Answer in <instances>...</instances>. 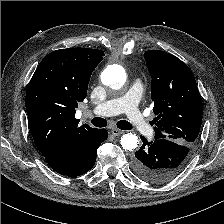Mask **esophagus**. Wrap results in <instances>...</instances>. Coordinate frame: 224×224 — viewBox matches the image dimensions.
<instances>
[{
  "mask_svg": "<svg viewBox=\"0 0 224 224\" xmlns=\"http://www.w3.org/2000/svg\"><path fill=\"white\" fill-rule=\"evenodd\" d=\"M123 133H124V131L119 130V129L114 128V129L111 130V134L114 135V136H118V135H121Z\"/></svg>",
  "mask_w": 224,
  "mask_h": 224,
  "instance_id": "34e87169",
  "label": "esophagus"
}]
</instances>
